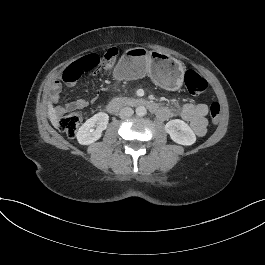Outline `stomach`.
I'll list each match as a JSON object with an SVG mask.
<instances>
[{"label":"stomach","mask_w":265,"mask_h":265,"mask_svg":"<svg viewBox=\"0 0 265 265\" xmlns=\"http://www.w3.org/2000/svg\"><path fill=\"white\" fill-rule=\"evenodd\" d=\"M184 67L174 57L145 48L127 50L119 60L115 74L118 79L132 80L146 75L167 90H178L183 81Z\"/></svg>","instance_id":"obj_1"}]
</instances>
